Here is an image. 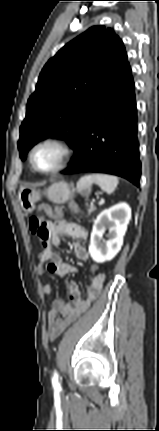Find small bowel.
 I'll use <instances>...</instances> for the list:
<instances>
[{"label": "small bowel", "mask_w": 159, "mask_h": 431, "mask_svg": "<svg viewBox=\"0 0 159 431\" xmlns=\"http://www.w3.org/2000/svg\"><path fill=\"white\" fill-rule=\"evenodd\" d=\"M45 233L37 235L42 243L39 253V264L37 272L43 274L48 271L58 277H64L76 272V268L65 262L58 254L54 253L52 247L60 245V236L65 235L71 238L86 239L87 231L80 225L57 218L55 221L46 220L44 223ZM74 252L77 258L87 260L89 255L87 250L79 243H74ZM98 270V267H97ZM91 283L86 292H82L76 281L69 283V296L71 302L57 299L53 302L48 313V335L50 340L57 338L72 322H74L99 296L104 281L101 273H91ZM44 292L50 294L52 286L46 284Z\"/></svg>", "instance_id": "c3829d8e"}]
</instances>
